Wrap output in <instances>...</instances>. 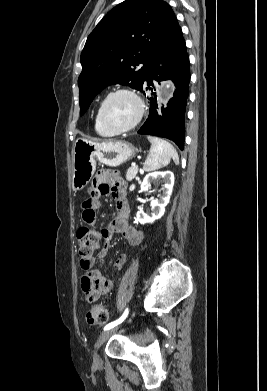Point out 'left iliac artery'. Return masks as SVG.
I'll use <instances>...</instances> for the list:
<instances>
[{
    "instance_id": "1",
    "label": "left iliac artery",
    "mask_w": 267,
    "mask_h": 391,
    "mask_svg": "<svg viewBox=\"0 0 267 391\" xmlns=\"http://www.w3.org/2000/svg\"><path fill=\"white\" fill-rule=\"evenodd\" d=\"M127 315H128V308L124 311L123 315L119 319L106 325L104 327V330L111 329V328L115 327L116 325L120 324L127 317Z\"/></svg>"
}]
</instances>
